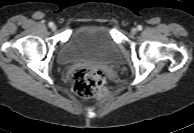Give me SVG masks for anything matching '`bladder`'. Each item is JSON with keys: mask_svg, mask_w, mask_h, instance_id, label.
<instances>
[{"mask_svg": "<svg viewBox=\"0 0 194 133\" xmlns=\"http://www.w3.org/2000/svg\"><path fill=\"white\" fill-rule=\"evenodd\" d=\"M121 58L118 44L109 27L101 23L85 24L72 32L59 53V61L117 63Z\"/></svg>", "mask_w": 194, "mask_h": 133, "instance_id": "bladder-1", "label": "bladder"}]
</instances>
